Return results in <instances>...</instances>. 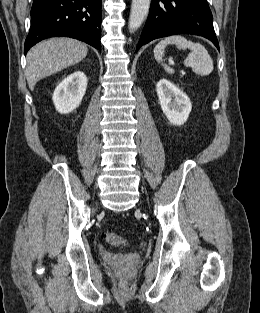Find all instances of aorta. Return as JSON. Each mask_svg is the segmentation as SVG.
Masks as SVG:
<instances>
[{
    "label": "aorta",
    "instance_id": "obj_1",
    "mask_svg": "<svg viewBox=\"0 0 260 313\" xmlns=\"http://www.w3.org/2000/svg\"><path fill=\"white\" fill-rule=\"evenodd\" d=\"M151 0H132L128 27L130 31L137 30L149 12Z\"/></svg>",
    "mask_w": 260,
    "mask_h": 313
}]
</instances>
